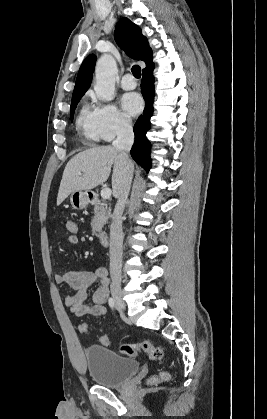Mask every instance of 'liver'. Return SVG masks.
I'll return each mask as SVG.
<instances>
[{"label": "liver", "instance_id": "liver-1", "mask_svg": "<svg viewBox=\"0 0 267 419\" xmlns=\"http://www.w3.org/2000/svg\"><path fill=\"white\" fill-rule=\"evenodd\" d=\"M113 166L112 190L119 196V186L126 171V162L113 146L89 148L76 154L66 164L60 183L57 205L74 191H88L104 183Z\"/></svg>", "mask_w": 267, "mask_h": 419}]
</instances>
